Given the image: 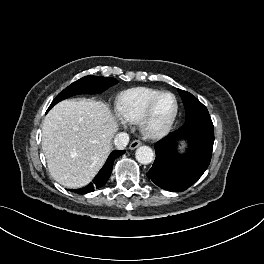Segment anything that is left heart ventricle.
<instances>
[{"instance_id": "1", "label": "left heart ventricle", "mask_w": 264, "mask_h": 264, "mask_svg": "<svg viewBox=\"0 0 264 264\" xmlns=\"http://www.w3.org/2000/svg\"><path fill=\"white\" fill-rule=\"evenodd\" d=\"M175 109V102L172 96L165 95L156 105L152 125L158 127L163 125L173 114Z\"/></svg>"}]
</instances>
